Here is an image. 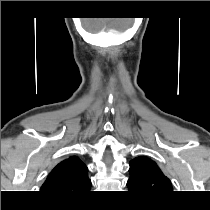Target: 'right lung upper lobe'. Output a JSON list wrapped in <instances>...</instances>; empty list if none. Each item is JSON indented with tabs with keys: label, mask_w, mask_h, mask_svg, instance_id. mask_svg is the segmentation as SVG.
I'll list each match as a JSON object with an SVG mask.
<instances>
[{
	"label": "right lung upper lobe",
	"mask_w": 210,
	"mask_h": 210,
	"mask_svg": "<svg viewBox=\"0 0 210 210\" xmlns=\"http://www.w3.org/2000/svg\"><path fill=\"white\" fill-rule=\"evenodd\" d=\"M87 171V167L77 156H71L49 173L41 192L54 199H79L91 187Z\"/></svg>",
	"instance_id": "right-lung-upper-lobe-1"
}]
</instances>
